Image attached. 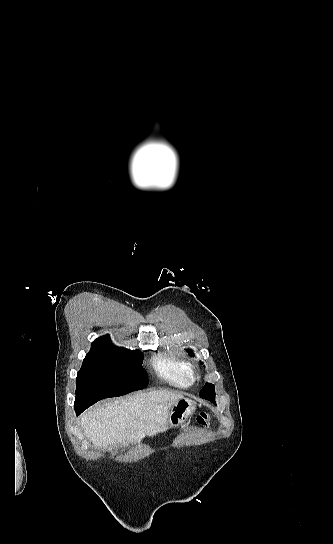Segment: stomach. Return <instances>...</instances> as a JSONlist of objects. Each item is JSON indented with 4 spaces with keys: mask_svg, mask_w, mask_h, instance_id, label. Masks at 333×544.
Returning a JSON list of instances; mask_svg holds the SVG:
<instances>
[{
    "mask_svg": "<svg viewBox=\"0 0 333 544\" xmlns=\"http://www.w3.org/2000/svg\"><path fill=\"white\" fill-rule=\"evenodd\" d=\"M196 409L195 403L187 398L177 401L171 408L168 420V429L182 425Z\"/></svg>",
    "mask_w": 333,
    "mask_h": 544,
    "instance_id": "1",
    "label": "stomach"
}]
</instances>
